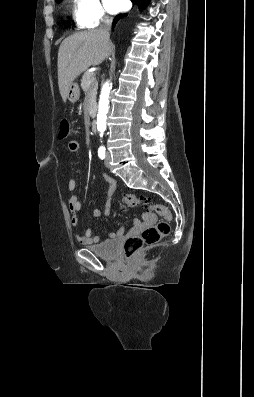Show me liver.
<instances>
[{"instance_id":"6515ba94","label":"liver","mask_w":254,"mask_h":397,"mask_svg":"<svg viewBox=\"0 0 254 397\" xmlns=\"http://www.w3.org/2000/svg\"><path fill=\"white\" fill-rule=\"evenodd\" d=\"M113 51L98 30L75 33L63 40L58 51V85L66 102L70 84L90 66L101 64Z\"/></svg>"}]
</instances>
